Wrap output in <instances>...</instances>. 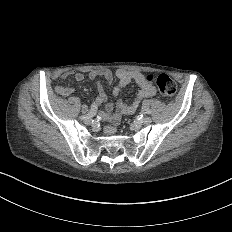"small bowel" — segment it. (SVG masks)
Returning a JSON list of instances; mask_svg holds the SVG:
<instances>
[{
    "label": "small bowel",
    "mask_w": 232,
    "mask_h": 232,
    "mask_svg": "<svg viewBox=\"0 0 232 232\" xmlns=\"http://www.w3.org/2000/svg\"><path fill=\"white\" fill-rule=\"evenodd\" d=\"M89 77L91 78H98L103 77L108 82L113 81L114 76L116 75L119 78V83L115 85L112 89L113 95H117L120 92V89L126 86L129 83H135L139 88V93L133 98L130 104H125L123 100H120L118 103L117 111L115 115L110 113L112 109V104L108 103L106 105V113L103 115L104 119L110 122V125L105 126L103 128L104 135H115L117 133V121L119 120L120 116L123 114H130L132 113L137 106L139 105L142 97H155L157 96V91L155 88L151 86L150 78L141 73L138 70H131V69H117L113 71L111 69H94L89 71ZM73 78L74 80L81 82L84 80V74L79 71L75 70H66L62 72L61 79L67 80ZM59 91L64 93H70L73 91L71 86H61L59 87ZM106 90L103 84L99 83L98 85V103H104L106 101Z\"/></svg>",
    "instance_id": "c3829d8e"
}]
</instances>
